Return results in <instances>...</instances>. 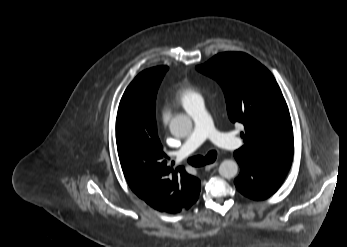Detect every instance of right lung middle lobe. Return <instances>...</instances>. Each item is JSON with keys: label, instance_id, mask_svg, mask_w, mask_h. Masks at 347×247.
Here are the masks:
<instances>
[{"label": "right lung middle lobe", "instance_id": "obj_1", "mask_svg": "<svg viewBox=\"0 0 347 247\" xmlns=\"http://www.w3.org/2000/svg\"><path fill=\"white\" fill-rule=\"evenodd\" d=\"M167 69L168 67L166 66H159L145 70L139 74L149 81L153 105H155L157 90Z\"/></svg>", "mask_w": 347, "mask_h": 247}]
</instances>
